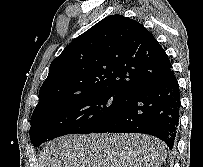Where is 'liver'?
I'll use <instances>...</instances> for the list:
<instances>
[{
	"label": "liver",
	"instance_id": "1",
	"mask_svg": "<svg viewBox=\"0 0 203 167\" xmlns=\"http://www.w3.org/2000/svg\"><path fill=\"white\" fill-rule=\"evenodd\" d=\"M166 157L164 144L147 135H68L46 144L38 167H160Z\"/></svg>",
	"mask_w": 203,
	"mask_h": 167
}]
</instances>
